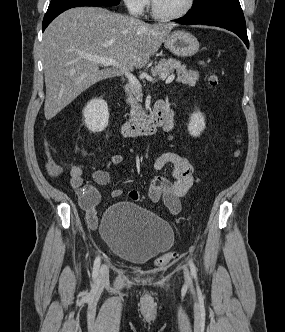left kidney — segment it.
I'll return each instance as SVG.
<instances>
[{"label":"left kidney","mask_w":285,"mask_h":332,"mask_svg":"<svg viewBox=\"0 0 285 332\" xmlns=\"http://www.w3.org/2000/svg\"><path fill=\"white\" fill-rule=\"evenodd\" d=\"M205 129V118L201 112H194L188 124V131L191 136L198 137L201 132Z\"/></svg>","instance_id":"left-kidney-1"}]
</instances>
